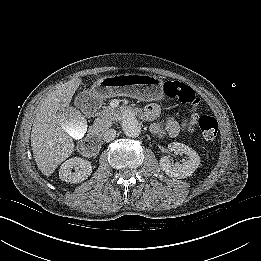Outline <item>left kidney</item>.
Wrapping results in <instances>:
<instances>
[{
	"label": "left kidney",
	"mask_w": 261,
	"mask_h": 261,
	"mask_svg": "<svg viewBox=\"0 0 261 261\" xmlns=\"http://www.w3.org/2000/svg\"><path fill=\"white\" fill-rule=\"evenodd\" d=\"M168 149L170 151L184 153L187 155V159L183 163H173L169 157H162L159 164L166 175L178 179L186 178L191 176L200 165L199 155L189 146L179 142H173L168 145Z\"/></svg>",
	"instance_id": "left-kidney-1"
}]
</instances>
